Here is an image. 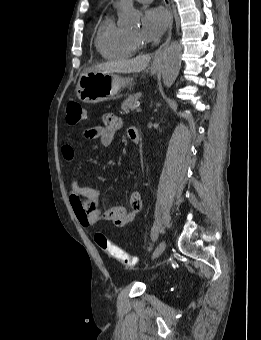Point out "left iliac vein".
I'll return each mask as SVG.
<instances>
[{
    "label": "left iliac vein",
    "mask_w": 261,
    "mask_h": 340,
    "mask_svg": "<svg viewBox=\"0 0 261 340\" xmlns=\"http://www.w3.org/2000/svg\"><path fill=\"white\" fill-rule=\"evenodd\" d=\"M165 248H166V241L163 240L159 243V245L155 249L152 255V259H156L157 257H159L164 252Z\"/></svg>",
    "instance_id": "left-iliac-vein-1"
}]
</instances>
